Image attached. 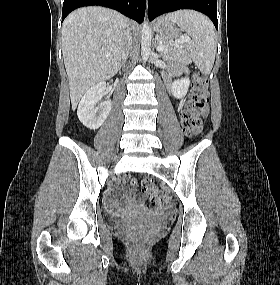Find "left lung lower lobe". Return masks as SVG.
<instances>
[{
  "instance_id": "left-lung-lower-lobe-1",
  "label": "left lung lower lobe",
  "mask_w": 280,
  "mask_h": 285,
  "mask_svg": "<svg viewBox=\"0 0 280 285\" xmlns=\"http://www.w3.org/2000/svg\"><path fill=\"white\" fill-rule=\"evenodd\" d=\"M149 20L179 9H193L206 14L218 29L217 0H148Z\"/></svg>"
}]
</instances>
